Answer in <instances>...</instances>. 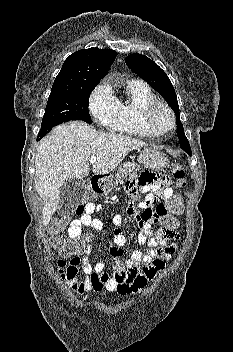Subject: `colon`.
I'll use <instances>...</instances> for the list:
<instances>
[{"label":"colon","mask_w":233,"mask_h":352,"mask_svg":"<svg viewBox=\"0 0 233 352\" xmlns=\"http://www.w3.org/2000/svg\"><path fill=\"white\" fill-rule=\"evenodd\" d=\"M173 177L176 180L178 187H184L186 185L185 179V169L180 164H175L172 169ZM90 194H85L84 199H89ZM183 202L179 195L173 196L166 205L159 204L156 210L161 215V225L163 230H172L178 224L176 216L182 213ZM77 214L83 212V207L77 209ZM65 225L64 219L54 220L48 227V233L50 235V243L55 251H57L63 257H71L82 253L84 249V243L82 241H74L62 235ZM66 262L61 260L58 264L59 272L63 277L66 275ZM90 281L92 285V290L95 292H101L104 288V282L106 281V276L99 275L97 273H92L90 275ZM142 290L139 287L135 292Z\"/></svg>","instance_id":"obj_1"}]
</instances>
